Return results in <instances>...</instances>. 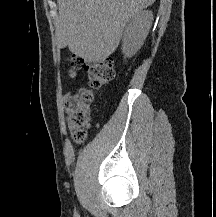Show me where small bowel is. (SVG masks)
I'll list each match as a JSON object with an SVG mask.
<instances>
[{
    "label": "small bowel",
    "mask_w": 216,
    "mask_h": 217,
    "mask_svg": "<svg viewBox=\"0 0 216 217\" xmlns=\"http://www.w3.org/2000/svg\"><path fill=\"white\" fill-rule=\"evenodd\" d=\"M73 96H74V93L70 91L63 97V106L66 108L68 113L71 108Z\"/></svg>",
    "instance_id": "obj_1"
}]
</instances>
